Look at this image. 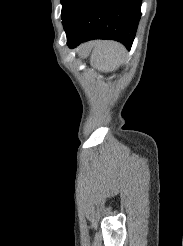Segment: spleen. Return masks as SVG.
<instances>
[{"label":"spleen","instance_id":"1","mask_svg":"<svg viewBox=\"0 0 183 246\" xmlns=\"http://www.w3.org/2000/svg\"><path fill=\"white\" fill-rule=\"evenodd\" d=\"M126 56L125 48L119 43L105 42L101 44L96 56V63L103 71H113L124 61Z\"/></svg>","mask_w":183,"mask_h":246}]
</instances>
